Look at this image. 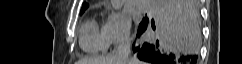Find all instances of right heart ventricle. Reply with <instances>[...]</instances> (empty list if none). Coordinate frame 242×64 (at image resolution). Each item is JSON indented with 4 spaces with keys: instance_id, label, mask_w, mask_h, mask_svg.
<instances>
[{
    "instance_id": "obj_1",
    "label": "right heart ventricle",
    "mask_w": 242,
    "mask_h": 64,
    "mask_svg": "<svg viewBox=\"0 0 242 64\" xmlns=\"http://www.w3.org/2000/svg\"><path fill=\"white\" fill-rule=\"evenodd\" d=\"M79 43L82 50L89 54L104 52L108 47L103 27L100 28L95 19H90L82 25Z\"/></svg>"
}]
</instances>
